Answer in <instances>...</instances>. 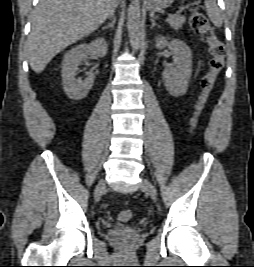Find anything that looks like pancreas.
Masks as SVG:
<instances>
[{"mask_svg": "<svg viewBox=\"0 0 254 267\" xmlns=\"http://www.w3.org/2000/svg\"><path fill=\"white\" fill-rule=\"evenodd\" d=\"M186 19L183 16L175 15L172 19L167 20L168 24L175 30L182 29Z\"/></svg>", "mask_w": 254, "mask_h": 267, "instance_id": "cf45deb5", "label": "pancreas"}]
</instances>
